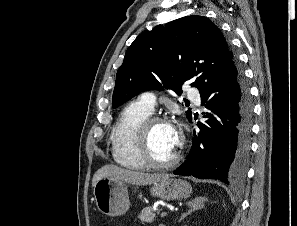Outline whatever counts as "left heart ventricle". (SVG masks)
I'll list each match as a JSON object with an SVG mask.
<instances>
[{
	"label": "left heart ventricle",
	"mask_w": 297,
	"mask_h": 226,
	"mask_svg": "<svg viewBox=\"0 0 297 226\" xmlns=\"http://www.w3.org/2000/svg\"><path fill=\"white\" fill-rule=\"evenodd\" d=\"M179 139L172 125L160 123L153 126L149 137L150 151L158 161L169 160L178 149Z\"/></svg>",
	"instance_id": "obj_1"
}]
</instances>
